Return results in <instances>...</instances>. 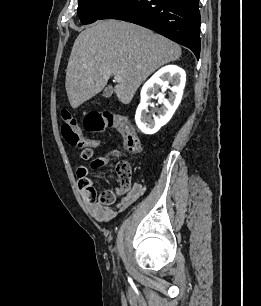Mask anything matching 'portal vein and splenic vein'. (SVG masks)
<instances>
[{
  "label": "portal vein and splenic vein",
  "instance_id": "obj_1",
  "mask_svg": "<svg viewBox=\"0 0 261 306\" xmlns=\"http://www.w3.org/2000/svg\"><path fill=\"white\" fill-rule=\"evenodd\" d=\"M114 80L117 81V82H119V81L122 80V77H121L120 75H115V76H114Z\"/></svg>",
  "mask_w": 261,
  "mask_h": 306
}]
</instances>
